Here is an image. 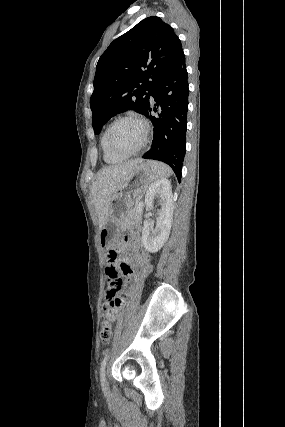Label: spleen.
I'll list each match as a JSON object with an SVG mask.
<instances>
[{
	"label": "spleen",
	"mask_w": 285,
	"mask_h": 427,
	"mask_svg": "<svg viewBox=\"0 0 285 427\" xmlns=\"http://www.w3.org/2000/svg\"><path fill=\"white\" fill-rule=\"evenodd\" d=\"M148 164L151 166L152 170L155 173V178L157 179L168 178L169 176L172 175L171 168L166 164H163L157 161H152V160H149Z\"/></svg>",
	"instance_id": "3e777b00"
}]
</instances>
